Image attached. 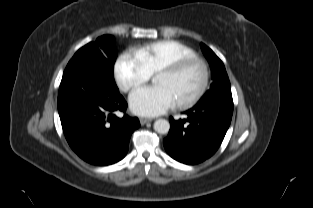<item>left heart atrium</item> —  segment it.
Wrapping results in <instances>:
<instances>
[{
    "label": "left heart atrium",
    "mask_w": 313,
    "mask_h": 208,
    "mask_svg": "<svg viewBox=\"0 0 313 208\" xmlns=\"http://www.w3.org/2000/svg\"><path fill=\"white\" fill-rule=\"evenodd\" d=\"M131 110L142 116H157L174 106L173 96L164 86L142 87L129 97Z\"/></svg>",
    "instance_id": "39dd6f15"
}]
</instances>
